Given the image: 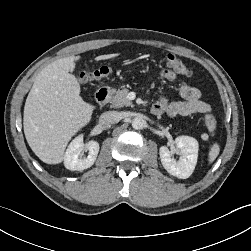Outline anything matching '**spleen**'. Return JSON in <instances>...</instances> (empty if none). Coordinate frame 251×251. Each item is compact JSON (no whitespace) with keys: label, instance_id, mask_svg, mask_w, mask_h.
<instances>
[{"label":"spleen","instance_id":"3e777b00","mask_svg":"<svg viewBox=\"0 0 251 251\" xmlns=\"http://www.w3.org/2000/svg\"><path fill=\"white\" fill-rule=\"evenodd\" d=\"M219 152H220L219 145L217 143H214L210 147V150H209V153H208V162L212 163L217 158V156L219 155Z\"/></svg>","mask_w":251,"mask_h":251}]
</instances>
